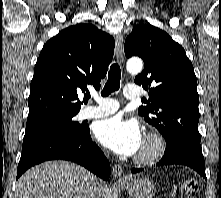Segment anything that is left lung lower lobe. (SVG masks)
Returning <instances> with one entry per match:
<instances>
[{"instance_id":"obj_1","label":"left lung lower lobe","mask_w":221,"mask_h":198,"mask_svg":"<svg viewBox=\"0 0 221 198\" xmlns=\"http://www.w3.org/2000/svg\"><path fill=\"white\" fill-rule=\"evenodd\" d=\"M160 165H185L197 171L206 179L205 161L200 141L195 139H178L166 142L164 156ZM143 168H133L132 173L142 171Z\"/></svg>"}]
</instances>
